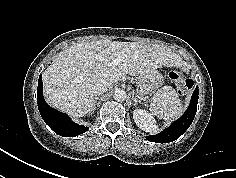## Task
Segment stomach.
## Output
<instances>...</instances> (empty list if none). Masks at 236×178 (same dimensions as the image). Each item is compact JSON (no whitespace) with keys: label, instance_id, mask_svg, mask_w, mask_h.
Instances as JSON below:
<instances>
[{"label":"stomach","instance_id":"stomach-1","mask_svg":"<svg viewBox=\"0 0 236 178\" xmlns=\"http://www.w3.org/2000/svg\"><path fill=\"white\" fill-rule=\"evenodd\" d=\"M163 83L162 74L153 70L137 78V94L139 97L144 98L152 94Z\"/></svg>","mask_w":236,"mask_h":178}]
</instances>
